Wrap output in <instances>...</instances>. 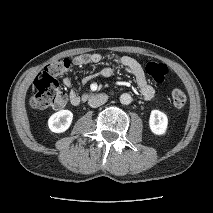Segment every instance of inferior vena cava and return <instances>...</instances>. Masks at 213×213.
Returning <instances> with one entry per match:
<instances>
[{"label": "inferior vena cava", "mask_w": 213, "mask_h": 213, "mask_svg": "<svg viewBox=\"0 0 213 213\" xmlns=\"http://www.w3.org/2000/svg\"><path fill=\"white\" fill-rule=\"evenodd\" d=\"M107 100H108V96L106 94H97L89 98L88 104L92 108H97L105 104Z\"/></svg>", "instance_id": "602c4592"}]
</instances>
